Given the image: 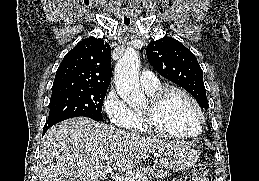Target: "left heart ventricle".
Instances as JSON below:
<instances>
[{"mask_svg":"<svg viewBox=\"0 0 259 181\" xmlns=\"http://www.w3.org/2000/svg\"><path fill=\"white\" fill-rule=\"evenodd\" d=\"M159 119L165 128L179 134L194 133L200 124L196 109L180 94H172L166 99Z\"/></svg>","mask_w":259,"mask_h":181,"instance_id":"left-heart-ventricle-1","label":"left heart ventricle"}]
</instances>
